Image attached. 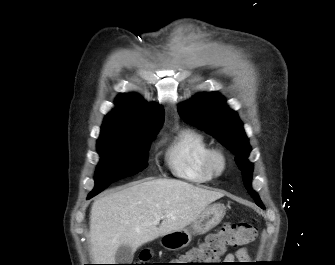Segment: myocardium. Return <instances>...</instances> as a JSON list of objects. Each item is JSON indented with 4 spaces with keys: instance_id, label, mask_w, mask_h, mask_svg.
<instances>
[{
    "instance_id": "1",
    "label": "myocardium",
    "mask_w": 335,
    "mask_h": 265,
    "mask_svg": "<svg viewBox=\"0 0 335 265\" xmlns=\"http://www.w3.org/2000/svg\"><path fill=\"white\" fill-rule=\"evenodd\" d=\"M208 169L215 175L225 172L228 166V159L225 152L221 149H210L205 160Z\"/></svg>"
}]
</instances>
